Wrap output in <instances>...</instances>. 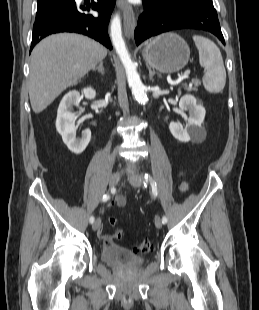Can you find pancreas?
<instances>
[{"label":"pancreas","mask_w":259,"mask_h":310,"mask_svg":"<svg viewBox=\"0 0 259 310\" xmlns=\"http://www.w3.org/2000/svg\"><path fill=\"white\" fill-rule=\"evenodd\" d=\"M192 84L194 85L193 87L192 86H188L187 84H184V88L187 89L188 91H197V87L201 84V81L198 80V79H193L192 80Z\"/></svg>","instance_id":"obj_1"}]
</instances>
